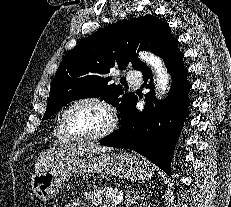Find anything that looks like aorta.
Instances as JSON below:
<instances>
[{"instance_id": "obj_1", "label": "aorta", "mask_w": 231, "mask_h": 207, "mask_svg": "<svg viewBox=\"0 0 231 207\" xmlns=\"http://www.w3.org/2000/svg\"><path fill=\"white\" fill-rule=\"evenodd\" d=\"M139 58L153 69L156 94L158 97H164L170 82V75L164 62L160 57L146 51H141Z\"/></svg>"}]
</instances>
